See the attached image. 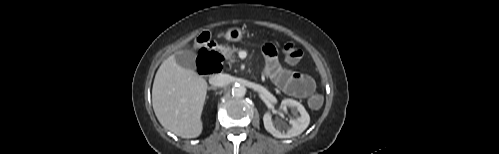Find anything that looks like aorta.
<instances>
[{"label":"aorta","mask_w":499,"mask_h":154,"mask_svg":"<svg viewBox=\"0 0 499 154\" xmlns=\"http://www.w3.org/2000/svg\"><path fill=\"white\" fill-rule=\"evenodd\" d=\"M246 94V88L243 85H235L232 88V95L235 97H243Z\"/></svg>","instance_id":"762f6f07"}]
</instances>
